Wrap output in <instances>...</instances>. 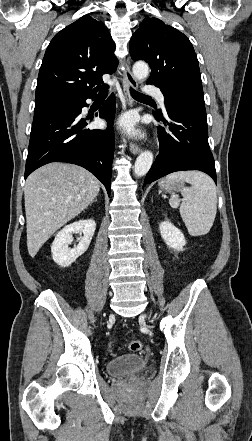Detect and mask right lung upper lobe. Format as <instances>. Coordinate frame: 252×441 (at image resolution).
<instances>
[{
	"label": "right lung upper lobe",
	"instance_id": "1",
	"mask_svg": "<svg viewBox=\"0 0 252 441\" xmlns=\"http://www.w3.org/2000/svg\"><path fill=\"white\" fill-rule=\"evenodd\" d=\"M115 43L101 21L85 15L51 40L40 67L35 103L63 94H95L117 65ZM97 87L94 88V86Z\"/></svg>",
	"mask_w": 252,
	"mask_h": 441
}]
</instances>
